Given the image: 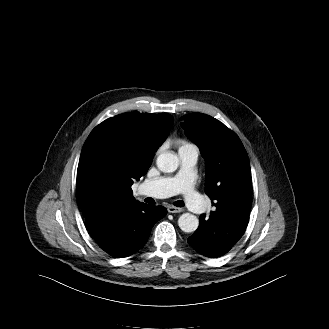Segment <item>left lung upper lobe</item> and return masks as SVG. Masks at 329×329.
Segmentation results:
<instances>
[{
    "instance_id": "left-lung-upper-lobe-1",
    "label": "left lung upper lobe",
    "mask_w": 329,
    "mask_h": 329,
    "mask_svg": "<svg viewBox=\"0 0 329 329\" xmlns=\"http://www.w3.org/2000/svg\"><path fill=\"white\" fill-rule=\"evenodd\" d=\"M181 123L187 137L197 144L206 162L205 192L216 210L209 218H226L233 208L249 204L251 170L239 137L217 119L191 113Z\"/></svg>"
}]
</instances>
